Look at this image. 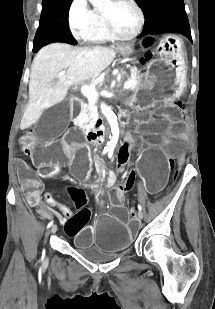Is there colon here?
<instances>
[{
    "instance_id": "5ec220e1",
    "label": "colon",
    "mask_w": 215,
    "mask_h": 309,
    "mask_svg": "<svg viewBox=\"0 0 215 309\" xmlns=\"http://www.w3.org/2000/svg\"><path fill=\"white\" fill-rule=\"evenodd\" d=\"M42 159L44 161L41 163V168L43 172H52L55 169V166L57 165L56 160L51 156H43ZM51 198V195L49 193L45 194V199L49 200ZM79 221H86L88 219V215L86 213H80L77 217Z\"/></svg>"
}]
</instances>
